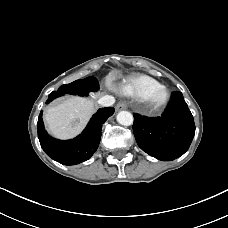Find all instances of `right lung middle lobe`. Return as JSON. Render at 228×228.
<instances>
[{
    "instance_id": "obj_1",
    "label": "right lung middle lobe",
    "mask_w": 228,
    "mask_h": 228,
    "mask_svg": "<svg viewBox=\"0 0 228 228\" xmlns=\"http://www.w3.org/2000/svg\"><path fill=\"white\" fill-rule=\"evenodd\" d=\"M99 89L98 81L95 77L90 76L85 79L76 80L70 84H65L57 90L63 94H73L85 96L90 91H97Z\"/></svg>"
}]
</instances>
